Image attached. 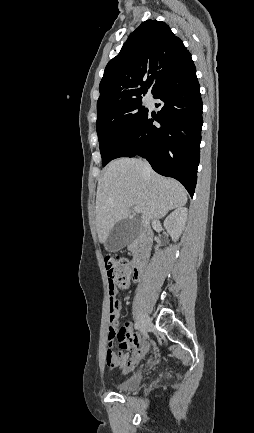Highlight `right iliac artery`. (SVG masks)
Wrapping results in <instances>:
<instances>
[{
	"mask_svg": "<svg viewBox=\"0 0 254 433\" xmlns=\"http://www.w3.org/2000/svg\"><path fill=\"white\" fill-rule=\"evenodd\" d=\"M135 329H137V330H139L140 329V325H139V323H135Z\"/></svg>",
	"mask_w": 254,
	"mask_h": 433,
	"instance_id": "82829eb1",
	"label": "right iliac artery"
}]
</instances>
